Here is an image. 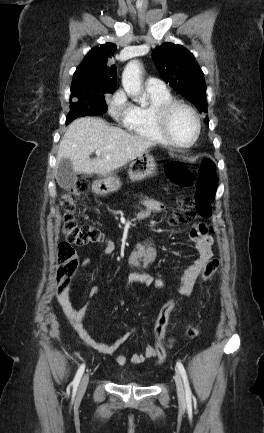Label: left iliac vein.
<instances>
[{"mask_svg": "<svg viewBox=\"0 0 264 433\" xmlns=\"http://www.w3.org/2000/svg\"><path fill=\"white\" fill-rule=\"evenodd\" d=\"M174 380H175V384H176V388H177L178 398L182 403H184L185 402V391H184L182 379H181L178 371H176L174 374Z\"/></svg>", "mask_w": 264, "mask_h": 433, "instance_id": "obj_1", "label": "left iliac vein"}]
</instances>
